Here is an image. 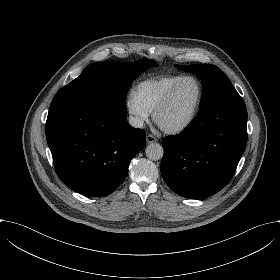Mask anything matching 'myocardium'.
Masks as SVG:
<instances>
[{
    "instance_id": "f54148a6",
    "label": "myocardium",
    "mask_w": 280,
    "mask_h": 280,
    "mask_svg": "<svg viewBox=\"0 0 280 280\" xmlns=\"http://www.w3.org/2000/svg\"><path fill=\"white\" fill-rule=\"evenodd\" d=\"M187 80H195L200 88V95H199V99H198V103L196 105L195 110L193 111V113L184 121L179 122V123H175L173 125L170 126H163L160 123V116L161 114L168 109V107L170 106L172 99L174 97V95L176 94V92L180 89V87L183 85V83ZM204 97H205V87L203 82L196 76L193 75H189V76H184L166 95V97L164 98V100L162 101V103L155 109L154 111V119L155 122L162 128L163 131H165L168 134H177L180 133L182 131H184L186 128H188L189 126H191L193 124V122L196 120L202 105H203V101H204Z\"/></svg>"
}]
</instances>
